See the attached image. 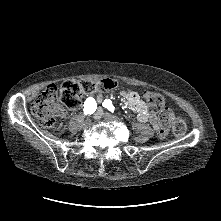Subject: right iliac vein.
<instances>
[{
	"instance_id": "right-iliac-vein-1",
	"label": "right iliac vein",
	"mask_w": 221,
	"mask_h": 221,
	"mask_svg": "<svg viewBox=\"0 0 221 221\" xmlns=\"http://www.w3.org/2000/svg\"><path fill=\"white\" fill-rule=\"evenodd\" d=\"M100 117H101L100 113L96 114V118H100Z\"/></svg>"
}]
</instances>
